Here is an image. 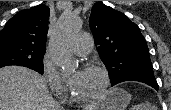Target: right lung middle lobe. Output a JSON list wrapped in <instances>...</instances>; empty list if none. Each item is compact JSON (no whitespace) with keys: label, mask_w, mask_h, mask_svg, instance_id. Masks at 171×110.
<instances>
[{"label":"right lung middle lobe","mask_w":171,"mask_h":110,"mask_svg":"<svg viewBox=\"0 0 171 110\" xmlns=\"http://www.w3.org/2000/svg\"><path fill=\"white\" fill-rule=\"evenodd\" d=\"M44 53L45 51L33 50L10 42L0 43V68L20 65L42 74Z\"/></svg>","instance_id":"1"}]
</instances>
